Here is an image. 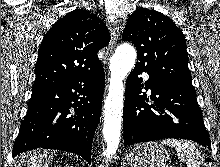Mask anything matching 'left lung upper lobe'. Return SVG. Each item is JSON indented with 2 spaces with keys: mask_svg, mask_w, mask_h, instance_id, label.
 Segmentation results:
<instances>
[{
  "mask_svg": "<svg viewBox=\"0 0 220 167\" xmlns=\"http://www.w3.org/2000/svg\"><path fill=\"white\" fill-rule=\"evenodd\" d=\"M123 40L136 46V66L156 76L191 82L184 35L161 12L137 9L127 21Z\"/></svg>",
  "mask_w": 220,
  "mask_h": 167,
  "instance_id": "1",
  "label": "left lung upper lobe"
}]
</instances>
